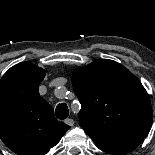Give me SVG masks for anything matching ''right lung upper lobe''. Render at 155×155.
Returning <instances> with one entry per match:
<instances>
[{
  "label": "right lung upper lobe",
  "mask_w": 155,
  "mask_h": 155,
  "mask_svg": "<svg viewBox=\"0 0 155 155\" xmlns=\"http://www.w3.org/2000/svg\"><path fill=\"white\" fill-rule=\"evenodd\" d=\"M44 77L45 70L22 62L0 80V138L17 155H44L70 128L40 97Z\"/></svg>",
  "instance_id": "1"
}]
</instances>
